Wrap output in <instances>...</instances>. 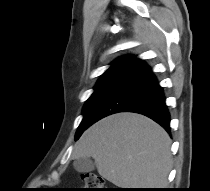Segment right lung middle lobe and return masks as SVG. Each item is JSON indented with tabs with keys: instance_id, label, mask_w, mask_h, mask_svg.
Instances as JSON below:
<instances>
[{
	"instance_id": "obj_1",
	"label": "right lung middle lobe",
	"mask_w": 210,
	"mask_h": 191,
	"mask_svg": "<svg viewBox=\"0 0 210 191\" xmlns=\"http://www.w3.org/2000/svg\"><path fill=\"white\" fill-rule=\"evenodd\" d=\"M131 57H122L117 59L113 65L101 76L98 80L95 91L87 100L83 108V119L76 132L75 139L77 140L82 133L95 122V115L106 99L115 83L118 81Z\"/></svg>"
}]
</instances>
